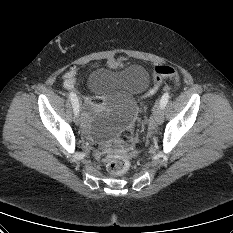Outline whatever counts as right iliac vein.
<instances>
[{
	"label": "right iliac vein",
	"instance_id": "obj_1",
	"mask_svg": "<svg viewBox=\"0 0 233 233\" xmlns=\"http://www.w3.org/2000/svg\"><path fill=\"white\" fill-rule=\"evenodd\" d=\"M74 120L77 124H79V117H78V114H75V117H74Z\"/></svg>",
	"mask_w": 233,
	"mask_h": 233
}]
</instances>
